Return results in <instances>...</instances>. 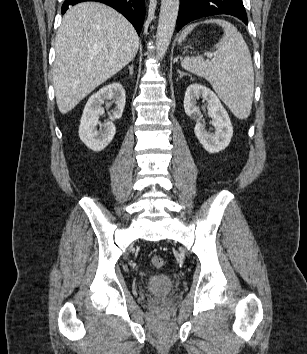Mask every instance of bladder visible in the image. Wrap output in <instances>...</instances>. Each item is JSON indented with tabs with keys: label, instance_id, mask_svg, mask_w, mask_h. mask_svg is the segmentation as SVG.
<instances>
[{
	"label": "bladder",
	"instance_id": "1",
	"mask_svg": "<svg viewBox=\"0 0 307 354\" xmlns=\"http://www.w3.org/2000/svg\"><path fill=\"white\" fill-rule=\"evenodd\" d=\"M147 287L153 292L165 293L173 288V281L168 275L159 273L149 278Z\"/></svg>",
	"mask_w": 307,
	"mask_h": 354
}]
</instances>
